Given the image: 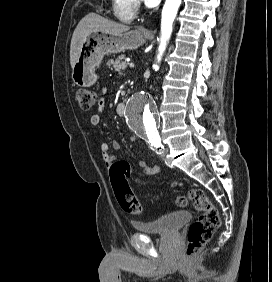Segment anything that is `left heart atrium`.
I'll return each instance as SVG.
<instances>
[{"mask_svg":"<svg viewBox=\"0 0 272 282\" xmlns=\"http://www.w3.org/2000/svg\"><path fill=\"white\" fill-rule=\"evenodd\" d=\"M148 7H155L159 4L160 0H143Z\"/></svg>","mask_w":272,"mask_h":282,"instance_id":"left-heart-atrium-1","label":"left heart atrium"}]
</instances>
